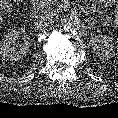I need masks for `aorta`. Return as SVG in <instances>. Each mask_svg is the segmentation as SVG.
Masks as SVG:
<instances>
[{"label": "aorta", "instance_id": "1", "mask_svg": "<svg viewBox=\"0 0 118 118\" xmlns=\"http://www.w3.org/2000/svg\"><path fill=\"white\" fill-rule=\"evenodd\" d=\"M60 23L66 31L71 33H77L83 28L80 19L68 15L61 17Z\"/></svg>", "mask_w": 118, "mask_h": 118}]
</instances>
